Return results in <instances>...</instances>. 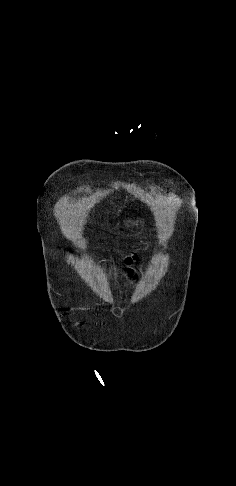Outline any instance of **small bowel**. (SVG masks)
Returning <instances> with one entry per match:
<instances>
[{
  "mask_svg": "<svg viewBox=\"0 0 236 486\" xmlns=\"http://www.w3.org/2000/svg\"><path fill=\"white\" fill-rule=\"evenodd\" d=\"M130 262H131V260H129V261H128V264H129ZM127 274H128V276H129V277H130L132 280H134V279L136 278V273H135V271H134L132 268H128V269H127Z\"/></svg>",
  "mask_w": 236,
  "mask_h": 486,
  "instance_id": "obj_1",
  "label": "small bowel"
}]
</instances>
